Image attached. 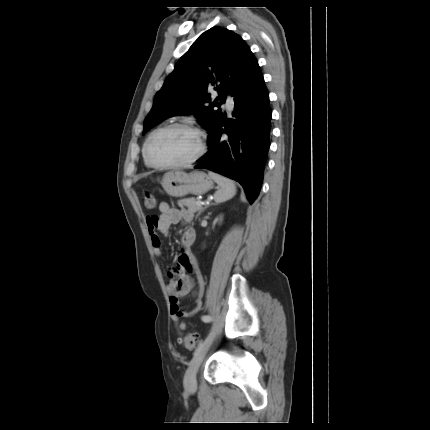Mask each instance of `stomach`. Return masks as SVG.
I'll list each match as a JSON object with an SVG mask.
<instances>
[{
    "label": "stomach",
    "instance_id": "stomach-1",
    "mask_svg": "<svg viewBox=\"0 0 430 430\" xmlns=\"http://www.w3.org/2000/svg\"><path fill=\"white\" fill-rule=\"evenodd\" d=\"M161 185L172 197H183L188 194L201 195L213 187L212 179L203 171L186 173L172 170L163 175Z\"/></svg>",
    "mask_w": 430,
    "mask_h": 430
}]
</instances>
